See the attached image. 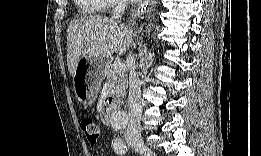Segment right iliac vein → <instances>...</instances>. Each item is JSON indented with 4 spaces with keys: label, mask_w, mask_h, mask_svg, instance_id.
I'll return each instance as SVG.
<instances>
[{
    "label": "right iliac vein",
    "mask_w": 261,
    "mask_h": 156,
    "mask_svg": "<svg viewBox=\"0 0 261 156\" xmlns=\"http://www.w3.org/2000/svg\"><path fill=\"white\" fill-rule=\"evenodd\" d=\"M133 148L143 156H155L153 151L142 142L133 143Z\"/></svg>",
    "instance_id": "obj_1"
}]
</instances>
